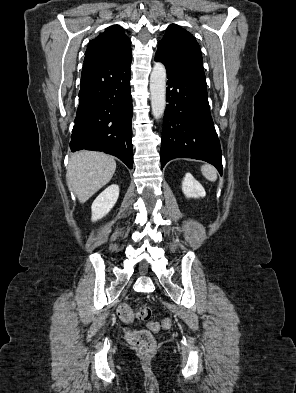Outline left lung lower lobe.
I'll list each match as a JSON object with an SVG mask.
<instances>
[{
	"mask_svg": "<svg viewBox=\"0 0 296 393\" xmlns=\"http://www.w3.org/2000/svg\"><path fill=\"white\" fill-rule=\"evenodd\" d=\"M155 61L160 60L155 57ZM165 67L168 105L163 119L161 168L171 159L185 157L211 163L222 174L221 147L210 113L204 72Z\"/></svg>",
	"mask_w": 296,
	"mask_h": 393,
	"instance_id": "0a47b994",
	"label": "left lung lower lobe"
}]
</instances>
